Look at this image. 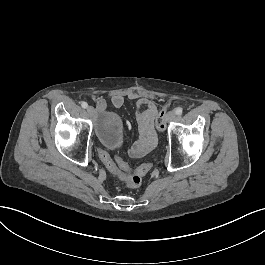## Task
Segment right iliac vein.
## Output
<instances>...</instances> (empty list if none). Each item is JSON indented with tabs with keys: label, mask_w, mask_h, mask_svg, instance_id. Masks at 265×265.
Instances as JSON below:
<instances>
[{
	"label": "right iliac vein",
	"mask_w": 265,
	"mask_h": 265,
	"mask_svg": "<svg viewBox=\"0 0 265 265\" xmlns=\"http://www.w3.org/2000/svg\"><path fill=\"white\" fill-rule=\"evenodd\" d=\"M86 111H87V113H88V115L90 117H92L94 115V113H95V109H94L93 106H88L87 109H86Z\"/></svg>",
	"instance_id": "right-iliac-vein-1"
}]
</instances>
